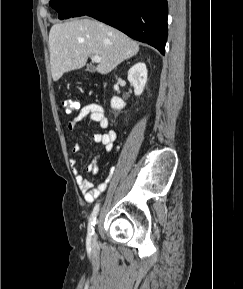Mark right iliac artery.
<instances>
[{
    "instance_id": "82829eb1",
    "label": "right iliac artery",
    "mask_w": 243,
    "mask_h": 289,
    "mask_svg": "<svg viewBox=\"0 0 243 289\" xmlns=\"http://www.w3.org/2000/svg\"><path fill=\"white\" fill-rule=\"evenodd\" d=\"M99 208H100V205L96 204L91 213L89 223H88V237L89 238H91L94 235V225L96 223V217L99 212Z\"/></svg>"
}]
</instances>
